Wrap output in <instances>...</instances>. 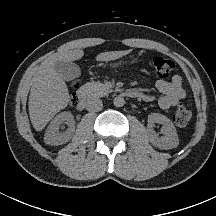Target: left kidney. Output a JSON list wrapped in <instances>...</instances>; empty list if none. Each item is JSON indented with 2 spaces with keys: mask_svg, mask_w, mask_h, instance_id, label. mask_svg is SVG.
<instances>
[{
  "mask_svg": "<svg viewBox=\"0 0 216 216\" xmlns=\"http://www.w3.org/2000/svg\"><path fill=\"white\" fill-rule=\"evenodd\" d=\"M154 123H159L163 125V135L158 137L153 131ZM148 137L151 144L160 149H172L179 145V139L177 135L176 128L172 121L159 113H151L148 116L147 124Z\"/></svg>",
  "mask_w": 216,
  "mask_h": 216,
  "instance_id": "obj_1",
  "label": "left kidney"
}]
</instances>
